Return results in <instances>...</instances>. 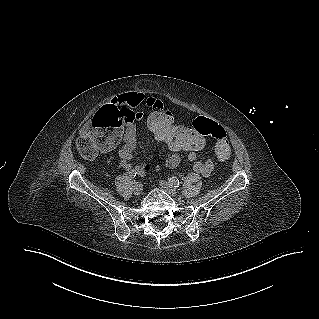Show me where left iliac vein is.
Masks as SVG:
<instances>
[{"mask_svg":"<svg viewBox=\"0 0 319 319\" xmlns=\"http://www.w3.org/2000/svg\"><path fill=\"white\" fill-rule=\"evenodd\" d=\"M160 186L171 196L177 195V190L169 182L161 180Z\"/></svg>","mask_w":319,"mask_h":319,"instance_id":"left-iliac-vein-1","label":"left iliac vein"}]
</instances>
